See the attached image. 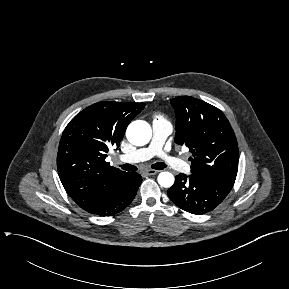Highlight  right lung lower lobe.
<instances>
[{
    "label": "right lung lower lobe",
    "instance_id": "98d812e1",
    "mask_svg": "<svg viewBox=\"0 0 289 289\" xmlns=\"http://www.w3.org/2000/svg\"><path fill=\"white\" fill-rule=\"evenodd\" d=\"M142 177L136 172H128L118 188L105 200L86 211L99 216H111L127 207L134 199Z\"/></svg>",
    "mask_w": 289,
    "mask_h": 289
}]
</instances>
